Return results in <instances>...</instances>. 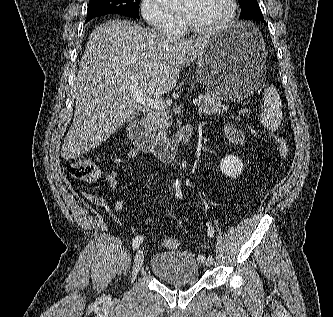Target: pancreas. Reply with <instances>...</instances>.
Instances as JSON below:
<instances>
[{"label": "pancreas", "mask_w": 333, "mask_h": 317, "mask_svg": "<svg viewBox=\"0 0 333 317\" xmlns=\"http://www.w3.org/2000/svg\"><path fill=\"white\" fill-rule=\"evenodd\" d=\"M228 110V105L223 104L220 100L207 94L203 102L198 107L200 114H216L223 113ZM171 116L164 110H156L149 113L147 122L155 133L164 135L167 127L171 125Z\"/></svg>", "instance_id": "obj_1"}]
</instances>
